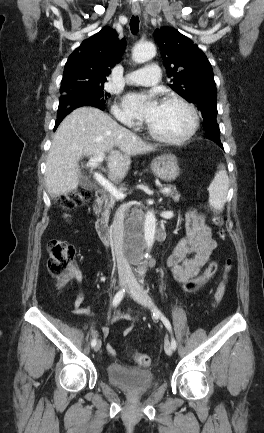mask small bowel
<instances>
[{
    "label": "small bowel",
    "mask_w": 264,
    "mask_h": 433,
    "mask_svg": "<svg viewBox=\"0 0 264 433\" xmlns=\"http://www.w3.org/2000/svg\"><path fill=\"white\" fill-rule=\"evenodd\" d=\"M215 247L216 242L212 238L210 228L205 223L204 216L196 211H189L185 217V233L170 253L167 266L172 270L174 277L179 282L184 283L200 272V269L208 262ZM75 279L81 286L82 275L79 271L75 272ZM83 301L84 292L80 288L74 301V314H89L88 309L82 307ZM130 331L131 327H128L123 334L126 335ZM101 333L106 337L109 328L103 327ZM107 350L110 354L115 353L112 343L107 344Z\"/></svg>",
    "instance_id": "small-bowel-1"
}]
</instances>
